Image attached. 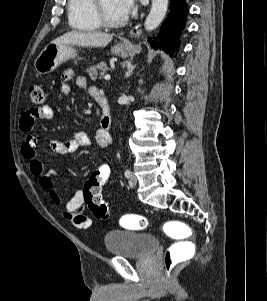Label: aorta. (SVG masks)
I'll return each instance as SVG.
<instances>
[{"mask_svg":"<svg viewBox=\"0 0 267 301\" xmlns=\"http://www.w3.org/2000/svg\"><path fill=\"white\" fill-rule=\"evenodd\" d=\"M168 8V0H152L150 13L145 20V29L152 31L156 29L164 19Z\"/></svg>","mask_w":267,"mask_h":301,"instance_id":"1","label":"aorta"}]
</instances>
